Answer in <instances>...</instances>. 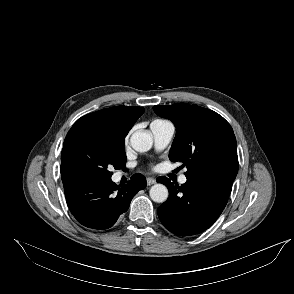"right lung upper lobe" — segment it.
Here are the masks:
<instances>
[{"label": "right lung upper lobe", "instance_id": "right-lung-upper-lobe-1", "mask_svg": "<svg viewBox=\"0 0 294 294\" xmlns=\"http://www.w3.org/2000/svg\"><path fill=\"white\" fill-rule=\"evenodd\" d=\"M143 113L142 107L116 106L87 114L74 123L65 141L77 133H100L125 138Z\"/></svg>", "mask_w": 294, "mask_h": 294}]
</instances>
